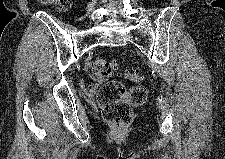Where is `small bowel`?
Here are the masks:
<instances>
[{
	"mask_svg": "<svg viewBox=\"0 0 225 159\" xmlns=\"http://www.w3.org/2000/svg\"><path fill=\"white\" fill-rule=\"evenodd\" d=\"M82 89L89 95L93 94L97 88L96 80L94 82L87 83L86 81H81Z\"/></svg>",
	"mask_w": 225,
	"mask_h": 159,
	"instance_id": "c3829d8e",
	"label": "small bowel"
}]
</instances>
